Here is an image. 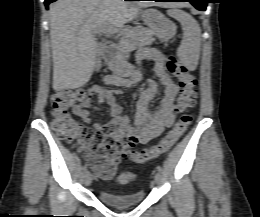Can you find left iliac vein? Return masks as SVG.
Listing matches in <instances>:
<instances>
[{"instance_id": "left-iliac-vein-1", "label": "left iliac vein", "mask_w": 260, "mask_h": 217, "mask_svg": "<svg viewBox=\"0 0 260 217\" xmlns=\"http://www.w3.org/2000/svg\"><path fill=\"white\" fill-rule=\"evenodd\" d=\"M154 182L156 185H161L162 183V176L159 172H156L155 175H154Z\"/></svg>"}]
</instances>
